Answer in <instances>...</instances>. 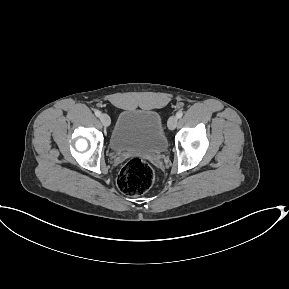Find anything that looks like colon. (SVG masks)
<instances>
[{"instance_id": "colon-1", "label": "colon", "mask_w": 289, "mask_h": 289, "mask_svg": "<svg viewBox=\"0 0 289 289\" xmlns=\"http://www.w3.org/2000/svg\"><path fill=\"white\" fill-rule=\"evenodd\" d=\"M154 182V171L150 164L141 158H132L122 167L117 185L121 192L138 196L147 192Z\"/></svg>"}]
</instances>
